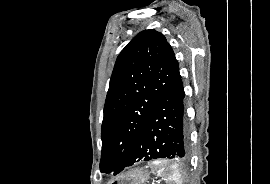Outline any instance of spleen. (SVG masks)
I'll return each mask as SVG.
<instances>
[{
    "label": "spleen",
    "instance_id": "spleen-1",
    "mask_svg": "<svg viewBox=\"0 0 270 184\" xmlns=\"http://www.w3.org/2000/svg\"><path fill=\"white\" fill-rule=\"evenodd\" d=\"M149 167L152 172L162 176L169 184H182L181 174L176 164L165 165L161 161H154Z\"/></svg>",
    "mask_w": 270,
    "mask_h": 184
}]
</instances>
